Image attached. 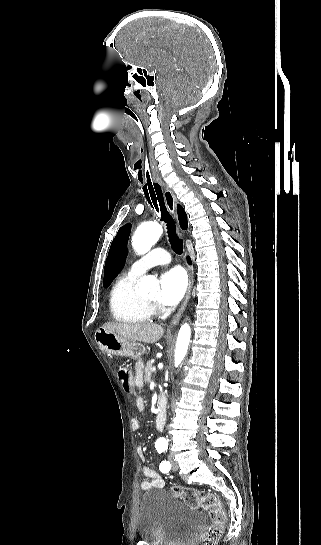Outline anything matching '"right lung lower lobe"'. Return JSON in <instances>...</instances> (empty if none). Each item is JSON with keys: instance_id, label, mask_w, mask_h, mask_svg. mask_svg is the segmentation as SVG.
Segmentation results:
<instances>
[{"instance_id": "98d812e1", "label": "right lung lower lobe", "mask_w": 321, "mask_h": 545, "mask_svg": "<svg viewBox=\"0 0 321 545\" xmlns=\"http://www.w3.org/2000/svg\"><path fill=\"white\" fill-rule=\"evenodd\" d=\"M187 262H188L189 264H191V260H190L189 257H187Z\"/></svg>"}]
</instances>
